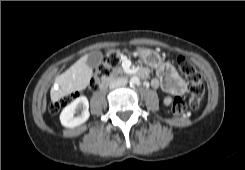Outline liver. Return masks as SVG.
<instances>
[{
    "mask_svg": "<svg viewBox=\"0 0 245 170\" xmlns=\"http://www.w3.org/2000/svg\"><path fill=\"white\" fill-rule=\"evenodd\" d=\"M87 58L88 55H84L56 78L55 85L50 91L52 102H57L75 91L84 90L89 85L93 70L86 64Z\"/></svg>",
    "mask_w": 245,
    "mask_h": 170,
    "instance_id": "6515ba94",
    "label": "liver"
}]
</instances>
